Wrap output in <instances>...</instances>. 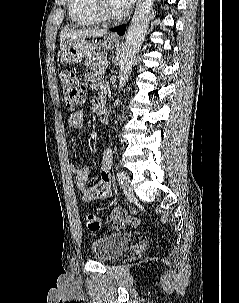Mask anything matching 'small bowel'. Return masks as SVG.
<instances>
[{"label":"small bowel","instance_id":"small-bowel-1","mask_svg":"<svg viewBox=\"0 0 239 303\" xmlns=\"http://www.w3.org/2000/svg\"><path fill=\"white\" fill-rule=\"evenodd\" d=\"M85 85L88 89L97 90L102 88V83L100 79L92 74L85 75ZM84 117L81 112H77L73 115H70L66 119V125L69 129H78L83 125ZM111 159L112 151L111 149H105L103 153V158L100 164V180L92 186L87 185L89 177V169L86 166L73 165L71 170L75 176V182L78 188L82 192V201L90 202L92 200H105L110 197L112 193L111 185ZM117 217L116 221L120 219H134L132 224H137L138 221L135 218L125 217L122 211H117L115 213ZM129 224L127 222L123 223L122 226Z\"/></svg>","mask_w":239,"mask_h":303}]
</instances>
